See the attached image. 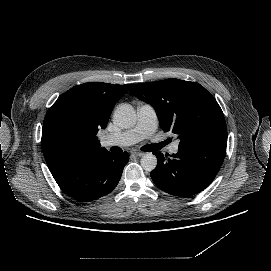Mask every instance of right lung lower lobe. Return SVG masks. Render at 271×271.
I'll return each instance as SVG.
<instances>
[{
  "instance_id": "98d812e1",
  "label": "right lung lower lobe",
  "mask_w": 271,
  "mask_h": 271,
  "mask_svg": "<svg viewBox=\"0 0 271 271\" xmlns=\"http://www.w3.org/2000/svg\"><path fill=\"white\" fill-rule=\"evenodd\" d=\"M128 152L78 154L50 169L59 187L78 201H92L110 193L128 162Z\"/></svg>"
}]
</instances>
